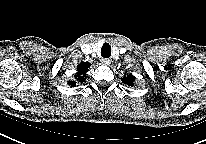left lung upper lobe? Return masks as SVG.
I'll return each mask as SVG.
<instances>
[{
  "instance_id": "obj_1",
  "label": "left lung upper lobe",
  "mask_w": 206,
  "mask_h": 144,
  "mask_svg": "<svg viewBox=\"0 0 206 144\" xmlns=\"http://www.w3.org/2000/svg\"><path fill=\"white\" fill-rule=\"evenodd\" d=\"M121 80L123 83H125L129 86H133L135 77L133 75L129 74L128 76L123 77Z\"/></svg>"
}]
</instances>
